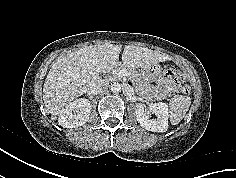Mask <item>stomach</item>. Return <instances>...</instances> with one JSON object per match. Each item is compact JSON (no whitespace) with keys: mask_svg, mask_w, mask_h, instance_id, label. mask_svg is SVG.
<instances>
[{"mask_svg":"<svg viewBox=\"0 0 236 178\" xmlns=\"http://www.w3.org/2000/svg\"><path fill=\"white\" fill-rule=\"evenodd\" d=\"M161 67L158 64L151 65L146 68H141L139 75L144 82H154L161 73Z\"/></svg>","mask_w":236,"mask_h":178,"instance_id":"1","label":"stomach"}]
</instances>
